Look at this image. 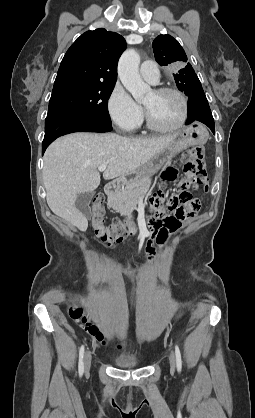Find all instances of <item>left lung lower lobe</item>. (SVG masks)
<instances>
[{
	"mask_svg": "<svg viewBox=\"0 0 255 418\" xmlns=\"http://www.w3.org/2000/svg\"><path fill=\"white\" fill-rule=\"evenodd\" d=\"M193 121H200L207 125L215 134L214 119L205 94L189 97L188 119L186 125Z\"/></svg>",
	"mask_w": 255,
	"mask_h": 418,
	"instance_id": "obj_1",
	"label": "left lung lower lobe"
}]
</instances>
